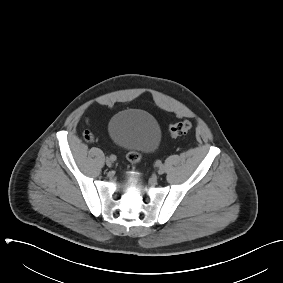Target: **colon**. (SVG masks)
<instances>
[{
  "mask_svg": "<svg viewBox=\"0 0 283 283\" xmlns=\"http://www.w3.org/2000/svg\"><path fill=\"white\" fill-rule=\"evenodd\" d=\"M191 129H192V123L188 120H183V121H179L174 124H171L168 127V133L170 136L176 137V136H180V135L189 133ZM85 137L87 140H91L90 134L87 133ZM127 159L132 164H138L140 162L141 156L138 152L130 151L127 154Z\"/></svg>",
  "mask_w": 283,
  "mask_h": 283,
  "instance_id": "colon-1",
  "label": "colon"
}]
</instances>
